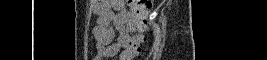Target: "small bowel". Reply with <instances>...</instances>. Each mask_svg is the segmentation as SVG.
<instances>
[{
	"mask_svg": "<svg viewBox=\"0 0 267 60\" xmlns=\"http://www.w3.org/2000/svg\"><path fill=\"white\" fill-rule=\"evenodd\" d=\"M93 11L98 16L93 29L97 49L94 59L114 56L120 60L133 59L143 41V28L126 10L125 1H93Z\"/></svg>",
	"mask_w": 267,
	"mask_h": 60,
	"instance_id": "c3829d8e",
	"label": "small bowel"
}]
</instances>
